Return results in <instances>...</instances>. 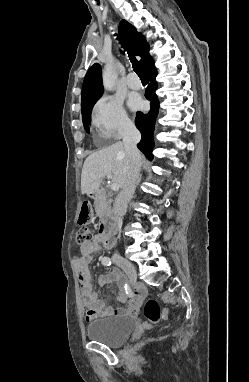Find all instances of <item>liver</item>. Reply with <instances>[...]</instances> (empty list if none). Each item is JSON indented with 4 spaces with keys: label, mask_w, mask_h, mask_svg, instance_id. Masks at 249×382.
<instances>
[{
    "label": "liver",
    "mask_w": 249,
    "mask_h": 382,
    "mask_svg": "<svg viewBox=\"0 0 249 382\" xmlns=\"http://www.w3.org/2000/svg\"><path fill=\"white\" fill-rule=\"evenodd\" d=\"M140 155V162H141ZM129 167V158L122 142H116L89 155L84 161L81 174V193L99 190L104 177L112 179L121 188Z\"/></svg>",
    "instance_id": "6515ba94"
}]
</instances>
